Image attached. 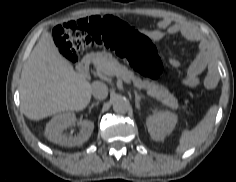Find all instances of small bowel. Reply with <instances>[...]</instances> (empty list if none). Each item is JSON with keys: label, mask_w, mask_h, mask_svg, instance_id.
Returning <instances> with one entry per match:
<instances>
[{"label": "small bowel", "mask_w": 236, "mask_h": 182, "mask_svg": "<svg viewBox=\"0 0 236 182\" xmlns=\"http://www.w3.org/2000/svg\"><path fill=\"white\" fill-rule=\"evenodd\" d=\"M143 34L152 42H160L164 37L173 34H181L186 40L195 42L199 40V34L192 27L175 21L171 18H163L157 23V27L152 30H144ZM168 62L172 67H180L181 62L174 56H168ZM207 64V53L205 45H201L200 51L196 58L189 66L186 75L182 79V84L186 87L193 88L200 83V73ZM207 87H213V76L208 74L204 80Z\"/></svg>", "instance_id": "1"}]
</instances>
